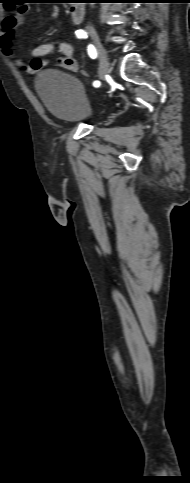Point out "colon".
Returning a JSON list of instances; mask_svg holds the SVG:
<instances>
[{
  "mask_svg": "<svg viewBox=\"0 0 190 483\" xmlns=\"http://www.w3.org/2000/svg\"><path fill=\"white\" fill-rule=\"evenodd\" d=\"M7 2H8V1H7ZM7 5H8V6H12V5H11V4H9V3H8Z\"/></svg>",
  "mask_w": 190,
  "mask_h": 483,
  "instance_id": "1",
  "label": "colon"
}]
</instances>
